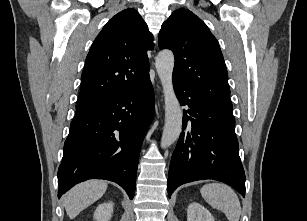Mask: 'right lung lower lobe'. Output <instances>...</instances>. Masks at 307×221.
I'll return each instance as SVG.
<instances>
[{
  "label": "right lung lower lobe",
  "instance_id": "obj_1",
  "mask_svg": "<svg viewBox=\"0 0 307 221\" xmlns=\"http://www.w3.org/2000/svg\"><path fill=\"white\" fill-rule=\"evenodd\" d=\"M153 114L148 77L141 87L75 115L58 169V197L96 178L119 184L133 199L139 153Z\"/></svg>",
  "mask_w": 307,
  "mask_h": 221
}]
</instances>
